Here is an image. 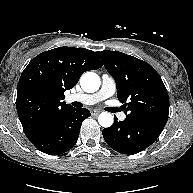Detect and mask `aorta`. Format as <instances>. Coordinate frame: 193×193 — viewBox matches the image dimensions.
<instances>
[{
  "mask_svg": "<svg viewBox=\"0 0 193 193\" xmlns=\"http://www.w3.org/2000/svg\"><path fill=\"white\" fill-rule=\"evenodd\" d=\"M81 88L87 93H94L100 87V77L94 72H85L80 78ZM113 115L109 112H102L98 116L99 124L108 128L113 124Z\"/></svg>",
  "mask_w": 193,
  "mask_h": 193,
  "instance_id": "762f6f07",
  "label": "aorta"
}]
</instances>
